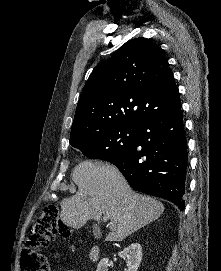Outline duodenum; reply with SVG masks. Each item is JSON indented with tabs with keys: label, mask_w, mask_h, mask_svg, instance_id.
Listing matches in <instances>:
<instances>
[{
	"label": "duodenum",
	"mask_w": 221,
	"mask_h": 271,
	"mask_svg": "<svg viewBox=\"0 0 221 271\" xmlns=\"http://www.w3.org/2000/svg\"><path fill=\"white\" fill-rule=\"evenodd\" d=\"M89 257L91 261H98L100 259V248L98 246H94L89 253Z\"/></svg>",
	"instance_id": "1"
}]
</instances>
